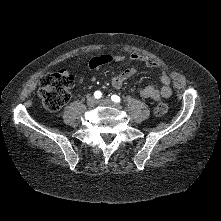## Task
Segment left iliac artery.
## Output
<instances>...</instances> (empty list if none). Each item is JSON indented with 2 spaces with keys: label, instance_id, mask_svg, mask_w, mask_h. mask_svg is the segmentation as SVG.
<instances>
[{
  "label": "left iliac artery",
  "instance_id": "1",
  "mask_svg": "<svg viewBox=\"0 0 221 221\" xmlns=\"http://www.w3.org/2000/svg\"><path fill=\"white\" fill-rule=\"evenodd\" d=\"M111 100L115 103H120V101H121L120 97L117 95H112Z\"/></svg>",
  "mask_w": 221,
  "mask_h": 221
}]
</instances>
